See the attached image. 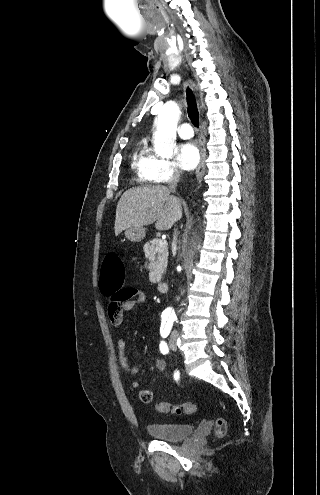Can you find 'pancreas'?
I'll use <instances>...</instances> for the list:
<instances>
[{"label":"pancreas","instance_id":"cf45deb5","mask_svg":"<svg viewBox=\"0 0 320 495\" xmlns=\"http://www.w3.org/2000/svg\"><path fill=\"white\" fill-rule=\"evenodd\" d=\"M160 241L161 239H153L144 245L145 256L150 262L149 269L152 272L151 281L154 283L161 280L167 268L168 247L167 244L160 246Z\"/></svg>","mask_w":320,"mask_h":495}]
</instances>
